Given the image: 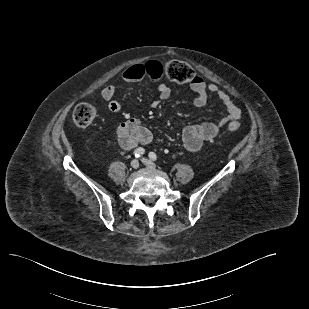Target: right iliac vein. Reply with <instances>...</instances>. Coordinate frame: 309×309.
<instances>
[{
    "label": "right iliac vein",
    "instance_id": "right-iliac-vein-1",
    "mask_svg": "<svg viewBox=\"0 0 309 309\" xmlns=\"http://www.w3.org/2000/svg\"><path fill=\"white\" fill-rule=\"evenodd\" d=\"M131 167L133 169H137L139 167V161L137 159H134L131 161Z\"/></svg>",
    "mask_w": 309,
    "mask_h": 309
}]
</instances>
